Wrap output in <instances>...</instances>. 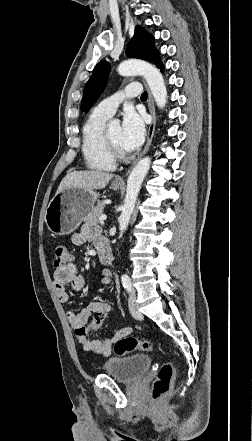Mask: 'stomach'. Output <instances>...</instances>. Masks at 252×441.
Masks as SVG:
<instances>
[{
  "label": "stomach",
  "mask_w": 252,
  "mask_h": 441,
  "mask_svg": "<svg viewBox=\"0 0 252 441\" xmlns=\"http://www.w3.org/2000/svg\"><path fill=\"white\" fill-rule=\"evenodd\" d=\"M120 185L112 183L111 189L118 190ZM99 193L94 190L66 188L52 198L45 214V222L54 235L73 232L95 208Z\"/></svg>",
  "instance_id": "1"
}]
</instances>
